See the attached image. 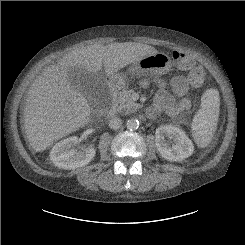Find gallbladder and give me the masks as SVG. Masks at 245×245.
Listing matches in <instances>:
<instances>
[{
	"label": "gallbladder",
	"mask_w": 245,
	"mask_h": 245,
	"mask_svg": "<svg viewBox=\"0 0 245 245\" xmlns=\"http://www.w3.org/2000/svg\"><path fill=\"white\" fill-rule=\"evenodd\" d=\"M68 74L71 85L87 98L92 107L102 106L106 87L100 77L77 67L71 68Z\"/></svg>",
	"instance_id": "bac80fb5"
}]
</instances>
